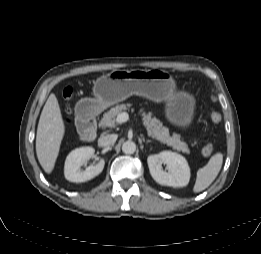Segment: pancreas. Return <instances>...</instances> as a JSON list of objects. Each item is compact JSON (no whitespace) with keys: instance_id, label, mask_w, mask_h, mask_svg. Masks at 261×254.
Masks as SVG:
<instances>
[{"instance_id":"obj_1","label":"pancreas","mask_w":261,"mask_h":254,"mask_svg":"<svg viewBox=\"0 0 261 254\" xmlns=\"http://www.w3.org/2000/svg\"><path fill=\"white\" fill-rule=\"evenodd\" d=\"M131 107L130 103L120 104L111 108L108 112L104 113L103 118L100 121L102 127L113 128L116 126L115 118L120 113L125 112ZM141 115L143 116V125L145 126L147 133L150 137L165 143L167 146L172 147L174 150L181 151L183 153H190L188 145L186 142L181 141L180 136L175 134L173 136L169 135L168 128L164 127L162 123L152 117V114H146L143 109L140 110Z\"/></svg>"}]
</instances>
